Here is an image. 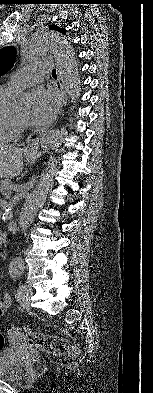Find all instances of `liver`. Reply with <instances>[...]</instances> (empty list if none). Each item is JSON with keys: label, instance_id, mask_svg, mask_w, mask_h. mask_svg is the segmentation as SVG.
Wrapping results in <instances>:
<instances>
[{"label": "liver", "instance_id": "1", "mask_svg": "<svg viewBox=\"0 0 153 393\" xmlns=\"http://www.w3.org/2000/svg\"><path fill=\"white\" fill-rule=\"evenodd\" d=\"M23 153L14 145L0 146V178H14L22 172Z\"/></svg>", "mask_w": 153, "mask_h": 393}]
</instances>
